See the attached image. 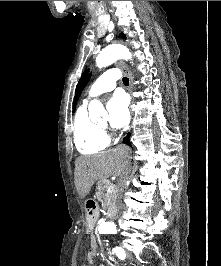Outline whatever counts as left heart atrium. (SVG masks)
Segmentation results:
<instances>
[{"label":"left heart atrium","instance_id":"39dd6f15","mask_svg":"<svg viewBox=\"0 0 221 266\" xmlns=\"http://www.w3.org/2000/svg\"><path fill=\"white\" fill-rule=\"evenodd\" d=\"M110 125L113 128H122L129 122L128 100L123 93H116L107 103Z\"/></svg>","mask_w":221,"mask_h":266}]
</instances>
